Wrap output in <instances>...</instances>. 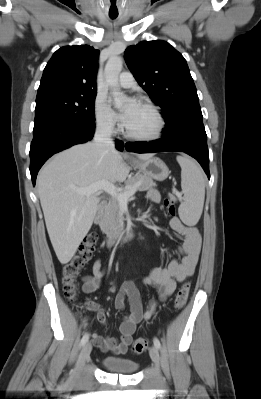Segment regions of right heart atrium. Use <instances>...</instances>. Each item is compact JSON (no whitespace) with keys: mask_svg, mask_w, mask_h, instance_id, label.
<instances>
[{"mask_svg":"<svg viewBox=\"0 0 261 399\" xmlns=\"http://www.w3.org/2000/svg\"><path fill=\"white\" fill-rule=\"evenodd\" d=\"M95 122L97 129L106 135L117 130V120L105 100L98 98L95 103Z\"/></svg>","mask_w":261,"mask_h":399,"instance_id":"1","label":"right heart atrium"}]
</instances>
